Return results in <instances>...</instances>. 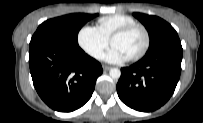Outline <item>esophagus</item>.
<instances>
[{
	"label": "esophagus",
	"mask_w": 203,
	"mask_h": 123,
	"mask_svg": "<svg viewBox=\"0 0 203 123\" xmlns=\"http://www.w3.org/2000/svg\"><path fill=\"white\" fill-rule=\"evenodd\" d=\"M110 69H111V67H110V66L103 65V70H104V71H108V70H110Z\"/></svg>",
	"instance_id": "esophagus-1"
}]
</instances>
